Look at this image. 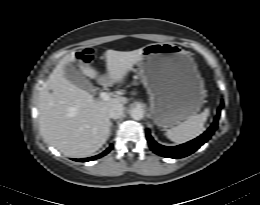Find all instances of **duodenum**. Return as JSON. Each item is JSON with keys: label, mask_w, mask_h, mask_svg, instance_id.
Segmentation results:
<instances>
[{"label": "duodenum", "mask_w": 260, "mask_h": 205, "mask_svg": "<svg viewBox=\"0 0 260 205\" xmlns=\"http://www.w3.org/2000/svg\"><path fill=\"white\" fill-rule=\"evenodd\" d=\"M106 84H107L106 81L103 80L102 85L105 86Z\"/></svg>", "instance_id": "obj_1"}]
</instances>
